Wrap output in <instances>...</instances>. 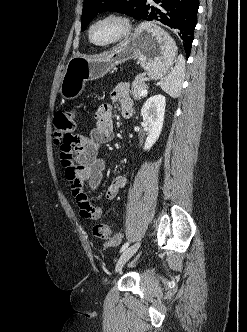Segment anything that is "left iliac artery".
<instances>
[{
	"instance_id": "44dca946",
	"label": "left iliac artery",
	"mask_w": 247,
	"mask_h": 332,
	"mask_svg": "<svg viewBox=\"0 0 247 332\" xmlns=\"http://www.w3.org/2000/svg\"><path fill=\"white\" fill-rule=\"evenodd\" d=\"M129 244H130L129 241L126 242V243H124V244L122 245L121 249H120V252H123L126 248H128Z\"/></svg>"
}]
</instances>
